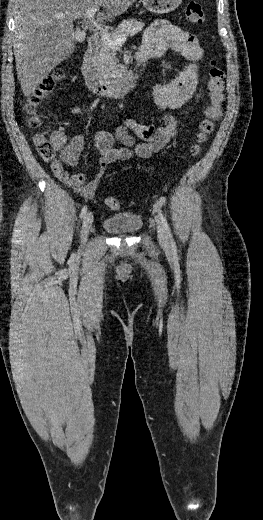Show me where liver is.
I'll return each mask as SVG.
<instances>
[{
    "instance_id": "obj_1",
    "label": "liver",
    "mask_w": 263,
    "mask_h": 520,
    "mask_svg": "<svg viewBox=\"0 0 263 520\" xmlns=\"http://www.w3.org/2000/svg\"><path fill=\"white\" fill-rule=\"evenodd\" d=\"M136 0H18L14 55L21 89L29 97L49 73L75 50L73 21L100 7L112 21ZM63 15L61 18L59 16Z\"/></svg>"
}]
</instances>
